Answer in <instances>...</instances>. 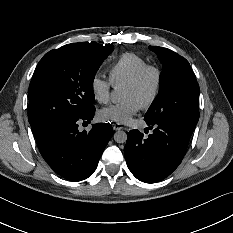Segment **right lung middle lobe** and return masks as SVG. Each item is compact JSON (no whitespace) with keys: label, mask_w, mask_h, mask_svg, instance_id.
<instances>
[{"label":"right lung middle lobe","mask_w":233,"mask_h":233,"mask_svg":"<svg viewBox=\"0 0 233 233\" xmlns=\"http://www.w3.org/2000/svg\"><path fill=\"white\" fill-rule=\"evenodd\" d=\"M113 49L73 43L45 54L29 86L31 127L78 118L91 110L95 74Z\"/></svg>","instance_id":"obj_1"}]
</instances>
